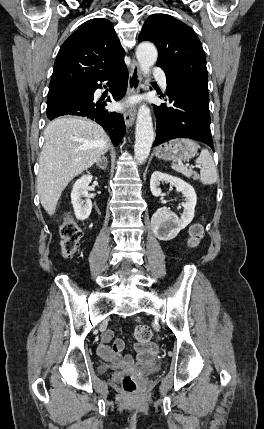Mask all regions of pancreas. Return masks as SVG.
I'll return each instance as SVG.
<instances>
[{"label":"pancreas","instance_id":"pancreas-1","mask_svg":"<svg viewBox=\"0 0 264 429\" xmlns=\"http://www.w3.org/2000/svg\"><path fill=\"white\" fill-rule=\"evenodd\" d=\"M194 175H195V177L197 176V174H196V173H194Z\"/></svg>","mask_w":264,"mask_h":429}]
</instances>
